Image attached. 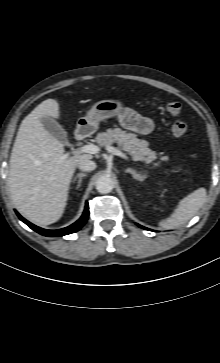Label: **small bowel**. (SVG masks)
<instances>
[{"label":"small bowel","mask_w":220,"mask_h":363,"mask_svg":"<svg viewBox=\"0 0 220 363\" xmlns=\"http://www.w3.org/2000/svg\"><path fill=\"white\" fill-rule=\"evenodd\" d=\"M119 121L128 130L142 135L150 134L154 129L153 121L136 111H128L123 113L119 117Z\"/></svg>","instance_id":"c3829d8e"}]
</instances>
